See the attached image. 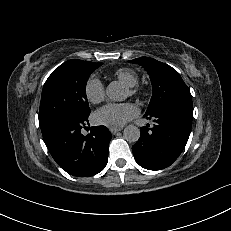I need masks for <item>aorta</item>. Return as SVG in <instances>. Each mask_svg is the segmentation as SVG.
Listing matches in <instances>:
<instances>
[{
  "label": "aorta",
  "instance_id": "obj_1",
  "mask_svg": "<svg viewBox=\"0 0 231 231\" xmlns=\"http://www.w3.org/2000/svg\"><path fill=\"white\" fill-rule=\"evenodd\" d=\"M106 94L114 101H122L126 98L124 87L117 81H113L107 86ZM140 134V129L135 125H128L123 132L124 138L129 142H137Z\"/></svg>",
  "mask_w": 231,
  "mask_h": 231
}]
</instances>
